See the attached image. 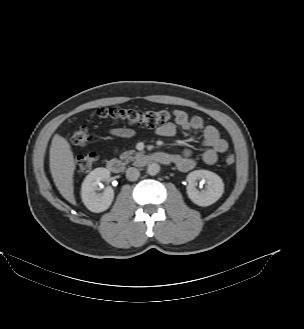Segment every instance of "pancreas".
<instances>
[{
  "mask_svg": "<svg viewBox=\"0 0 304 329\" xmlns=\"http://www.w3.org/2000/svg\"><path fill=\"white\" fill-rule=\"evenodd\" d=\"M135 155V157H133ZM142 153L135 152L134 150L124 151L120 154V159L125 160L126 162H129L130 160H133L134 158L141 157Z\"/></svg>",
  "mask_w": 304,
  "mask_h": 329,
  "instance_id": "obj_1",
  "label": "pancreas"
}]
</instances>
